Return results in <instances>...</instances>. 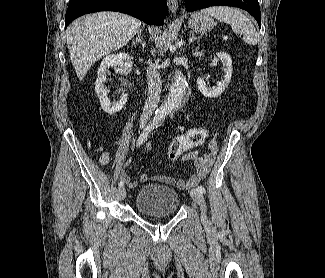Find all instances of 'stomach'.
<instances>
[{
    "label": "stomach",
    "mask_w": 325,
    "mask_h": 278,
    "mask_svg": "<svg viewBox=\"0 0 325 278\" xmlns=\"http://www.w3.org/2000/svg\"><path fill=\"white\" fill-rule=\"evenodd\" d=\"M188 26L194 31L205 33L213 29L215 22L209 15L197 12L190 16Z\"/></svg>",
    "instance_id": "stomach-1"
}]
</instances>
